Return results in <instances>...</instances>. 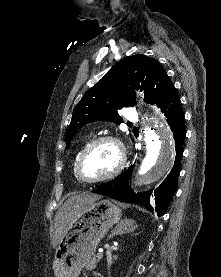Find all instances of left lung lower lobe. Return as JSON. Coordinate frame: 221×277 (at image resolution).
<instances>
[{
    "label": "left lung lower lobe",
    "mask_w": 221,
    "mask_h": 277,
    "mask_svg": "<svg viewBox=\"0 0 221 277\" xmlns=\"http://www.w3.org/2000/svg\"><path fill=\"white\" fill-rule=\"evenodd\" d=\"M161 111L167 117V122L173 131L176 147V158L174 166L166 179L156 189H151L143 193L134 194L128 186L132 174V166L115 179L99 185L93 192L100 195L109 196L122 202H133L141 204L145 208L152 210L150 198H153L158 216H162L176 191L177 180L180 172V162L183 155V142L186 136L184 127V115L181 108L179 96L173 87L172 90L159 104Z\"/></svg>",
    "instance_id": "left-lung-lower-lobe-1"
}]
</instances>
